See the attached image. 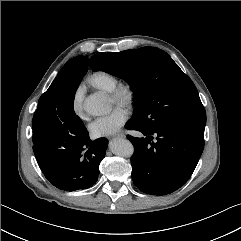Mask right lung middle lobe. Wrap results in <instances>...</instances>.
<instances>
[{"label": "right lung middle lobe", "mask_w": 241, "mask_h": 241, "mask_svg": "<svg viewBox=\"0 0 241 241\" xmlns=\"http://www.w3.org/2000/svg\"><path fill=\"white\" fill-rule=\"evenodd\" d=\"M81 80L74 75L57 76L38 101L32 127L38 131L42 140L51 144V149L74 145L87 133L73 109L75 93Z\"/></svg>", "instance_id": "obj_1"}]
</instances>
